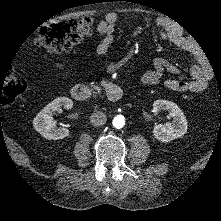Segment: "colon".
I'll return each mask as SVG.
<instances>
[{"mask_svg":"<svg viewBox=\"0 0 221 221\" xmlns=\"http://www.w3.org/2000/svg\"><path fill=\"white\" fill-rule=\"evenodd\" d=\"M92 32L93 20L87 17L52 23L40 30L36 45L49 53H60L88 39ZM27 90L25 79L10 73L0 80V105L10 106Z\"/></svg>","mask_w":221,"mask_h":221,"instance_id":"obj_1","label":"colon"}]
</instances>
